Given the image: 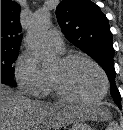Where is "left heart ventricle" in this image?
I'll list each match as a JSON object with an SVG mask.
<instances>
[{
  "label": "left heart ventricle",
  "mask_w": 123,
  "mask_h": 130,
  "mask_svg": "<svg viewBox=\"0 0 123 130\" xmlns=\"http://www.w3.org/2000/svg\"><path fill=\"white\" fill-rule=\"evenodd\" d=\"M50 74L59 79L66 90L78 98H95L103 90L101 74L86 61L77 60L64 65L58 60L50 69Z\"/></svg>",
  "instance_id": "b2bd125f"
}]
</instances>
